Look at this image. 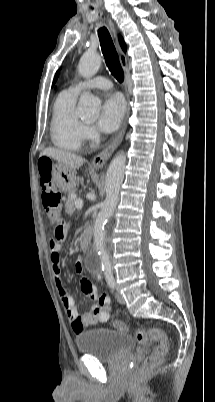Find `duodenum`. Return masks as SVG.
Wrapping results in <instances>:
<instances>
[{"mask_svg": "<svg viewBox=\"0 0 215 402\" xmlns=\"http://www.w3.org/2000/svg\"><path fill=\"white\" fill-rule=\"evenodd\" d=\"M90 241H91V232L85 231L81 238V245L84 250H87L89 248Z\"/></svg>", "mask_w": 215, "mask_h": 402, "instance_id": "obj_1", "label": "duodenum"}]
</instances>
